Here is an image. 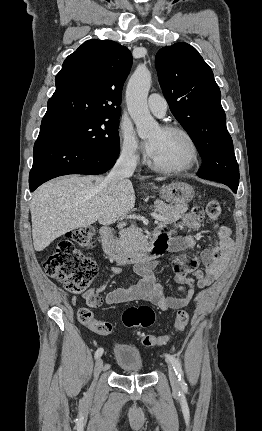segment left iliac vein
Returning <instances> with one entry per match:
<instances>
[{
    "label": "left iliac vein",
    "mask_w": 262,
    "mask_h": 431,
    "mask_svg": "<svg viewBox=\"0 0 262 431\" xmlns=\"http://www.w3.org/2000/svg\"><path fill=\"white\" fill-rule=\"evenodd\" d=\"M168 373H169V379H170L171 385L173 386V388L178 389L179 381L171 365H168Z\"/></svg>",
    "instance_id": "1"
}]
</instances>
